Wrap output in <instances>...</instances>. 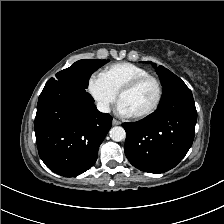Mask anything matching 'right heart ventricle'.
<instances>
[{
  "label": "right heart ventricle",
  "mask_w": 224,
  "mask_h": 224,
  "mask_svg": "<svg viewBox=\"0 0 224 224\" xmlns=\"http://www.w3.org/2000/svg\"><path fill=\"white\" fill-rule=\"evenodd\" d=\"M147 74L149 72L138 65L129 62H119L106 67L102 71L101 76L108 86L115 93H118L120 88L131 79Z\"/></svg>",
  "instance_id": "e07e8e85"
}]
</instances>
